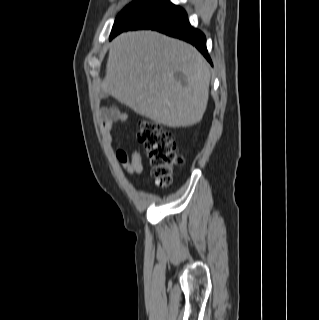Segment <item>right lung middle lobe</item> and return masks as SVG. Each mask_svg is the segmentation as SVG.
I'll return each instance as SVG.
<instances>
[{
  "label": "right lung middle lobe",
  "mask_w": 319,
  "mask_h": 320,
  "mask_svg": "<svg viewBox=\"0 0 319 320\" xmlns=\"http://www.w3.org/2000/svg\"><path fill=\"white\" fill-rule=\"evenodd\" d=\"M173 6L168 0H134L115 19L112 30L130 28L149 16Z\"/></svg>",
  "instance_id": "right-lung-middle-lobe-1"
}]
</instances>
